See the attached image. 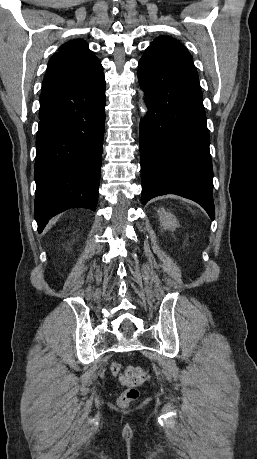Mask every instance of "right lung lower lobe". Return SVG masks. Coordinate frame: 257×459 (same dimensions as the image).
<instances>
[{"mask_svg":"<svg viewBox=\"0 0 257 459\" xmlns=\"http://www.w3.org/2000/svg\"><path fill=\"white\" fill-rule=\"evenodd\" d=\"M103 74L40 95L34 217L42 232L69 208L96 210L105 123Z\"/></svg>","mask_w":257,"mask_h":459,"instance_id":"right-lung-lower-lobe-1","label":"right lung lower lobe"}]
</instances>
